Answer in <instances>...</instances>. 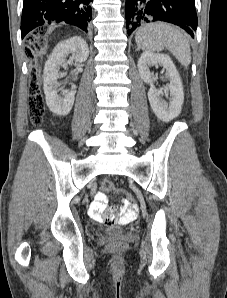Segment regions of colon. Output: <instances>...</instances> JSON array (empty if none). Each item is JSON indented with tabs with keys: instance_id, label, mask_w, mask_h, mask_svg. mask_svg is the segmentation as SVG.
<instances>
[{
	"instance_id": "5ec220e1",
	"label": "colon",
	"mask_w": 227,
	"mask_h": 298,
	"mask_svg": "<svg viewBox=\"0 0 227 298\" xmlns=\"http://www.w3.org/2000/svg\"><path fill=\"white\" fill-rule=\"evenodd\" d=\"M45 44L41 41H36L34 35H30L27 38V44L24 47V53L29 58H34L35 54L43 51ZM28 110L32 124L40 125L43 121L44 115V102L40 91L39 78L36 71H33L30 83H29V97H28ZM102 189L106 192L112 191V194H120V189H115L110 181H104L102 183ZM124 205L127 207H138V202H133V197L130 194H126V200ZM108 224H117L121 220L113 216L106 218ZM108 248L113 252H120L126 248V244L121 241H113L108 245Z\"/></svg>"
}]
</instances>
